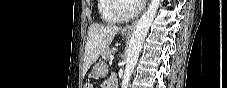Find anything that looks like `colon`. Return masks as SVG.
<instances>
[{
  "label": "colon",
  "mask_w": 227,
  "mask_h": 88,
  "mask_svg": "<svg viewBox=\"0 0 227 88\" xmlns=\"http://www.w3.org/2000/svg\"><path fill=\"white\" fill-rule=\"evenodd\" d=\"M86 88H90L91 87V85L90 84H86V86H85Z\"/></svg>",
  "instance_id": "5ec220e1"
}]
</instances>
